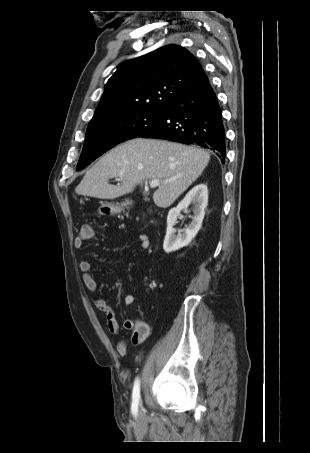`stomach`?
<instances>
[{"instance_id":"0dacf381","label":"stomach","mask_w":310,"mask_h":453,"mask_svg":"<svg viewBox=\"0 0 310 453\" xmlns=\"http://www.w3.org/2000/svg\"><path fill=\"white\" fill-rule=\"evenodd\" d=\"M126 203L123 202L121 204L119 203H102L101 206L99 207L98 211L99 214L104 215V216H111V215H116L122 212L123 206H125Z\"/></svg>"}]
</instances>
